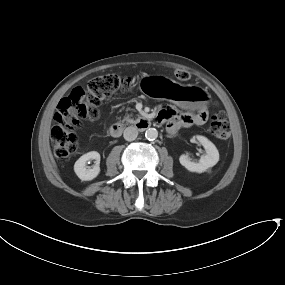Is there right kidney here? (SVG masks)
Returning a JSON list of instances; mask_svg holds the SVG:
<instances>
[{
  "mask_svg": "<svg viewBox=\"0 0 285 285\" xmlns=\"http://www.w3.org/2000/svg\"><path fill=\"white\" fill-rule=\"evenodd\" d=\"M95 160V165L91 168L86 166L90 160ZM100 154L97 151H91L82 155L74 164V171L82 181H90L100 173Z\"/></svg>",
  "mask_w": 285,
  "mask_h": 285,
  "instance_id": "ca27d5eb",
  "label": "right kidney"
}]
</instances>
